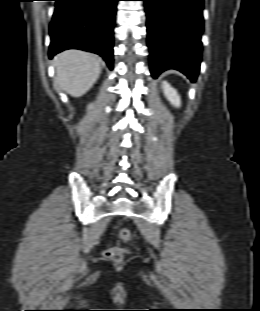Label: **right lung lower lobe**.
<instances>
[{
  "mask_svg": "<svg viewBox=\"0 0 260 311\" xmlns=\"http://www.w3.org/2000/svg\"><path fill=\"white\" fill-rule=\"evenodd\" d=\"M49 58L66 49L99 54L113 69V29L118 0H54Z\"/></svg>",
  "mask_w": 260,
  "mask_h": 311,
  "instance_id": "1",
  "label": "right lung lower lobe"
}]
</instances>
